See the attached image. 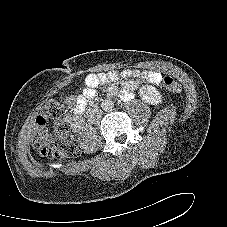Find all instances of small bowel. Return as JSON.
I'll return each instance as SVG.
<instances>
[{
	"mask_svg": "<svg viewBox=\"0 0 227 227\" xmlns=\"http://www.w3.org/2000/svg\"><path fill=\"white\" fill-rule=\"evenodd\" d=\"M121 79H130L120 90L123 99H130L132 91L142 81L151 84H159L162 80L161 73L157 71H141V70H112L107 73H89L85 77V87L78 95L72 110V114L66 117V121L73 130H78L81 126V116L83 115L87 104L96 97V88L107 85L111 82H117ZM118 89L116 87L109 88L110 95H116Z\"/></svg>",
	"mask_w": 227,
	"mask_h": 227,
	"instance_id": "small-bowel-1",
	"label": "small bowel"
}]
</instances>
